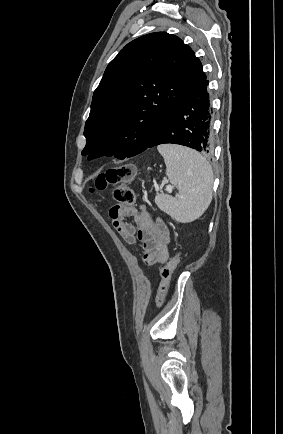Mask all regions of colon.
Instances as JSON below:
<instances>
[{"mask_svg":"<svg viewBox=\"0 0 283 434\" xmlns=\"http://www.w3.org/2000/svg\"><path fill=\"white\" fill-rule=\"evenodd\" d=\"M136 168L133 164L117 166L99 174L93 190H105L112 187L113 199L124 206L132 207L136 201L135 192L130 188ZM180 260V253H175L161 269V281L157 291L156 302L161 305L168 293L171 277Z\"/></svg>","mask_w":283,"mask_h":434,"instance_id":"5ec220e1","label":"colon"}]
</instances>
